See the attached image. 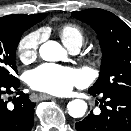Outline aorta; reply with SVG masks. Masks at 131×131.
I'll list each match as a JSON object with an SVG mask.
<instances>
[{
  "label": "aorta",
  "instance_id": "obj_1",
  "mask_svg": "<svg viewBox=\"0 0 131 131\" xmlns=\"http://www.w3.org/2000/svg\"><path fill=\"white\" fill-rule=\"evenodd\" d=\"M40 56L45 61H59L65 54L61 45L55 41H48L41 45ZM67 110L71 117L81 118L87 110V103L81 99H74L67 104Z\"/></svg>",
  "mask_w": 131,
  "mask_h": 131
}]
</instances>
